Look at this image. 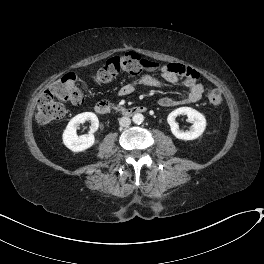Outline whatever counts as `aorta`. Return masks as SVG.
<instances>
[{
  "mask_svg": "<svg viewBox=\"0 0 264 264\" xmlns=\"http://www.w3.org/2000/svg\"><path fill=\"white\" fill-rule=\"evenodd\" d=\"M132 121L135 124H141L144 121V116L141 113H136L133 115Z\"/></svg>",
  "mask_w": 264,
  "mask_h": 264,
  "instance_id": "762f6f07",
  "label": "aorta"
}]
</instances>
